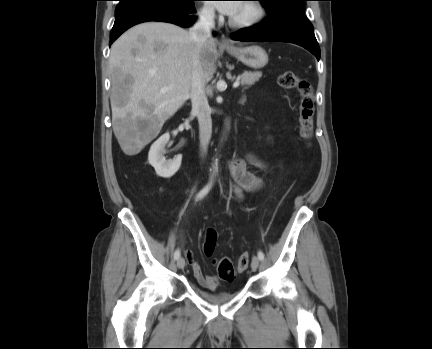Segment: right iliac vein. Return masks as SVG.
Here are the masks:
<instances>
[{"label":"right iliac vein","instance_id":"obj_1","mask_svg":"<svg viewBox=\"0 0 432 349\" xmlns=\"http://www.w3.org/2000/svg\"><path fill=\"white\" fill-rule=\"evenodd\" d=\"M184 266H185V260L182 257L178 258V260H177V267L179 269H183Z\"/></svg>","mask_w":432,"mask_h":349}]
</instances>
